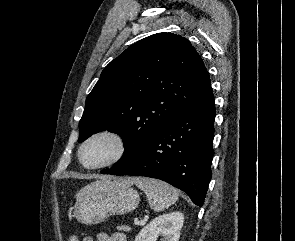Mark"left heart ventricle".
Returning a JSON list of instances; mask_svg holds the SVG:
<instances>
[{
	"label": "left heart ventricle",
	"mask_w": 295,
	"mask_h": 241,
	"mask_svg": "<svg viewBox=\"0 0 295 241\" xmlns=\"http://www.w3.org/2000/svg\"><path fill=\"white\" fill-rule=\"evenodd\" d=\"M117 152L116 142L109 137H97L90 141L82 152L87 165H96L110 160Z\"/></svg>",
	"instance_id": "1"
}]
</instances>
